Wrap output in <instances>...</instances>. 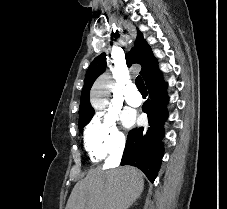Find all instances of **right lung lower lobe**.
Masks as SVG:
<instances>
[{
	"instance_id": "right-lung-lower-lobe-1",
	"label": "right lung lower lobe",
	"mask_w": 227,
	"mask_h": 209,
	"mask_svg": "<svg viewBox=\"0 0 227 209\" xmlns=\"http://www.w3.org/2000/svg\"><path fill=\"white\" fill-rule=\"evenodd\" d=\"M145 83L149 99L142 110L148 114L149 127H140L129 132L121 165L138 167L151 182H154L164 154L161 140L164 136V122L168 117L167 83L162 80L158 68Z\"/></svg>"
}]
</instances>
